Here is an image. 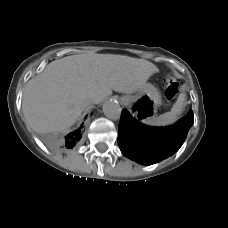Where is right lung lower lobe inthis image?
<instances>
[{
    "instance_id": "1",
    "label": "right lung lower lobe",
    "mask_w": 228,
    "mask_h": 228,
    "mask_svg": "<svg viewBox=\"0 0 228 228\" xmlns=\"http://www.w3.org/2000/svg\"><path fill=\"white\" fill-rule=\"evenodd\" d=\"M83 131L84 128L81 125L75 131L70 132L66 136L59 139H52L49 143L54 149L66 151L67 149L73 148L80 141Z\"/></svg>"
}]
</instances>
